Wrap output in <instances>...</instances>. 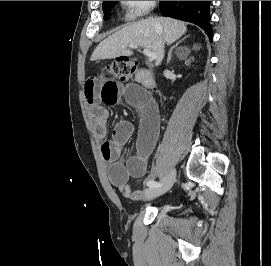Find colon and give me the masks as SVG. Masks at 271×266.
Listing matches in <instances>:
<instances>
[{
	"mask_svg": "<svg viewBox=\"0 0 271 266\" xmlns=\"http://www.w3.org/2000/svg\"><path fill=\"white\" fill-rule=\"evenodd\" d=\"M138 69L137 62L128 58H118L108 65L109 73L118 79L130 78Z\"/></svg>",
	"mask_w": 271,
	"mask_h": 266,
	"instance_id": "obj_1",
	"label": "colon"
}]
</instances>
